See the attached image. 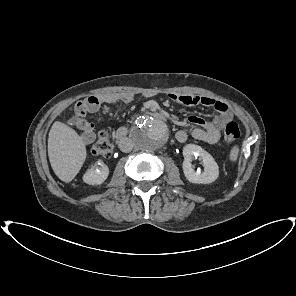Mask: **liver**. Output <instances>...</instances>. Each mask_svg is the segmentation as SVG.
<instances>
[{
    "mask_svg": "<svg viewBox=\"0 0 296 296\" xmlns=\"http://www.w3.org/2000/svg\"><path fill=\"white\" fill-rule=\"evenodd\" d=\"M86 146L71 127L59 121L53 123L48 137V156L57 177L71 182L86 159Z\"/></svg>",
    "mask_w": 296,
    "mask_h": 296,
    "instance_id": "obj_1",
    "label": "liver"
}]
</instances>
